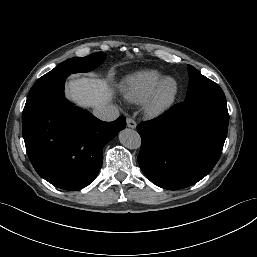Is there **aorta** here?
Masks as SVG:
<instances>
[{"label":"aorta","instance_id":"1","mask_svg":"<svg viewBox=\"0 0 257 257\" xmlns=\"http://www.w3.org/2000/svg\"><path fill=\"white\" fill-rule=\"evenodd\" d=\"M120 143L129 149H138L141 145V138L137 131L133 129H124L119 133Z\"/></svg>","mask_w":257,"mask_h":257}]
</instances>
